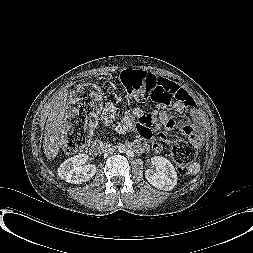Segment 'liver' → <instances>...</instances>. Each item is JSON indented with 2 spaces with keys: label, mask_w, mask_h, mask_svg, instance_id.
Instances as JSON below:
<instances>
[{
  "label": "liver",
  "mask_w": 253,
  "mask_h": 253,
  "mask_svg": "<svg viewBox=\"0 0 253 253\" xmlns=\"http://www.w3.org/2000/svg\"><path fill=\"white\" fill-rule=\"evenodd\" d=\"M66 90L60 91L50 105V113L45 125L43 150L47 159H54L62 144L66 123Z\"/></svg>",
  "instance_id": "1"
}]
</instances>
